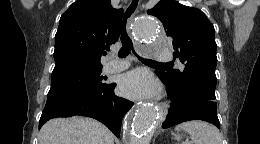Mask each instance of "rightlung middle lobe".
I'll return each instance as SVG.
<instances>
[{
    "label": "right lung middle lobe",
    "mask_w": 260,
    "mask_h": 144,
    "mask_svg": "<svg viewBox=\"0 0 260 144\" xmlns=\"http://www.w3.org/2000/svg\"><path fill=\"white\" fill-rule=\"evenodd\" d=\"M102 66L72 65L53 70L51 88L48 92L67 90L96 91L108 85L100 76Z\"/></svg>",
    "instance_id": "dd1d6c3e"
}]
</instances>
